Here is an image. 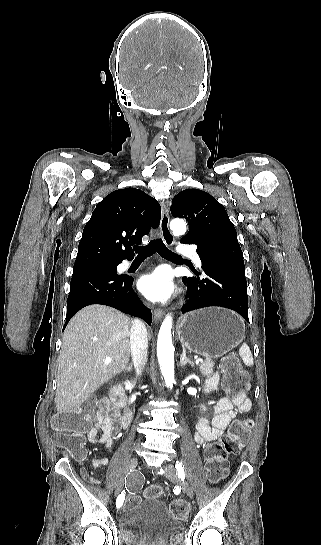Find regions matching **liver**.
Instances as JSON below:
<instances>
[{"mask_svg": "<svg viewBox=\"0 0 321 545\" xmlns=\"http://www.w3.org/2000/svg\"><path fill=\"white\" fill-rule=\"evenodd\" d=\"M131 329L129 317L105 305L85 307L69 321L57 369L58 413H71L126 369ZM106 357L112 363H105Z\"/></svg>", "mask_w": 321, "mask_h": 545, "instance_id": "obj_1", "label": "liver"}]
</instances>
